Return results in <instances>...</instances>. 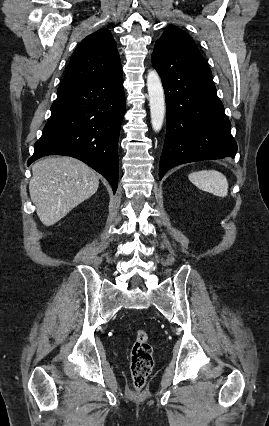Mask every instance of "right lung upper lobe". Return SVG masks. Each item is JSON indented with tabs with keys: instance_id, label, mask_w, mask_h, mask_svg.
I'll list each match as a JSON object with an SVG mask.
<instances>
[{
	"instance_id": "right-lung-upper-lobe-1",
	"label": "right lung upper lobe",
	"mask_w": 269,
	"mask_h": 426,
	"mask_svg": "<svg viewBox=\"0 0 269 426\" xmlns=\"http://www.w3.org/2000/svg\"><path fill=\"white\" fill-rule=\"evenodd\" d=\"M121 70L117 44L111 32L102 28L78 45L71 56L61 86L103 79Z\"/></svg>"
}]
</instances>
